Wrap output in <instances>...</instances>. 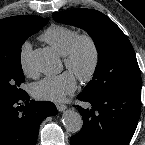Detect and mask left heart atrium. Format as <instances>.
I'll list each match as a JSON object with an SVG mask.
<instances>
[{
	"instance_id": "39dd6f15",
	"label": "left heart atrium",
	"mask_w": 145,
	"mask_h": 145,
	"mask_svg": "<svg viewBox=\"0 0 145 145\" xmlns=\"http://www.w3.org/2000/svg\"><path fill=\"white\" fill-rule=\"evenodd\" d=\"M77 88L75 75L71 71L48 76L34 84L32 93L39 100L61 102Z\"/></svg>"
}]
</instances>
